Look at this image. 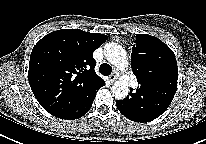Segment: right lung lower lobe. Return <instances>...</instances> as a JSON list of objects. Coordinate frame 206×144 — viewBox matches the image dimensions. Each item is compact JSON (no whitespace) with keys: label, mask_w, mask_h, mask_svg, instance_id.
I'll return each mask as SVG.
<instances>
[{"label":"right lung lower lobe","mask_w":206,"mask_h":144,"mask_svg":"<svg viewBox=\"0 0 206 144\" xmlns=\"http://www.w3.org/2000/svg\"><path fill=\"white\" fill-rule=\"evenodd\" d=\"M104 85H105V83H103L101 86H104ZM98 89L94 90V92L91 93L86 98V100L83 101L81 104H79L76 107H73L72 109L68 110L64 114L58 116V118L67 119V120H73V119H77V118H80L83 115H85L90 110V108L92 106V103H93V101L95 99L96 92H97Z\"/></svg>","instance_id":"1"}]
</instances>
